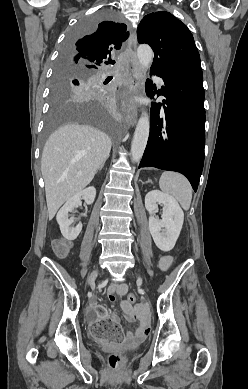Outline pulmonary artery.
<instances>
[{
	"mask_svg": "<svg viewBox=\"0 0 248 389\" xmlns=\"http://www.w3.org/2000/svg\"><path fill=\"white\" fill-rule=\"evenodd\" d=\"M156 83L160 86L162 84V79L160 77L155 78Z\"/></svg>",
	"mask_w": 248,
	"mask_h": 389,
	"instance_id": "1",
	"label": "pulmonary artery"
}]
</instances>
